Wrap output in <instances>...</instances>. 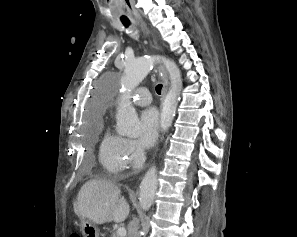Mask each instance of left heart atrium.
Segmentation results:
<instances>
[{"label": "left heart atrium", "mask_w": 297, "mask_h": 237, "mask_svg": "<svg viewBox=\"0 0 297 237\" xmlns=\"http://www.w3.org/2000/svg\"><path fill=\"white\" fill-rule=\"evenodd\" d=\"M140 143L145 147L152 146L160 131V117L156 108L145 109L140 115Z\"/></svg>", "instance_id": "obj_1"}]
</instances>
